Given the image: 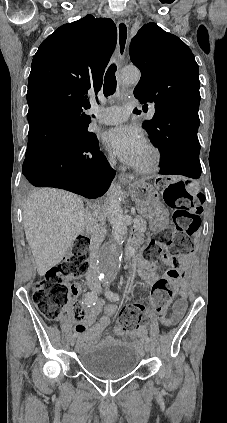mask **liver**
I'll use <instances>...</instances> for the list:
<instances>
[{"label": "liver", "mask_w": 227, "mask_h": 423, "mask_svg": "<svg viewBox=\"0 0 227 423\" xmlns=\"http://www.w3.org/2000/svg\"><path fill=\"white\" fill-rule=\"evenodd\" d=\"M23 225L39 275L60 263L83 229H91L82 198L56 188L33 190L26 196Z\"/></svg>", "instance_id": "1"}]
</instances>
